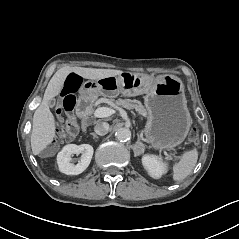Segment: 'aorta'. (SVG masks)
<instances>
[{
    "label": "aorta",
    "mask_w": 239,
    "mask_h": 239,
    "mask_svg": "<svg viewBox=\"0 0 239 239\" xmlns=\"http://www.w3.org/2000/svg\"><path fill=\"white\" fill-rule=\"evenodd\" d=\"M115 137L120 142H126L131 138V131L126 127L119 128L115 132Z\"/></svg>",
    "instance_id": "obj_1"
}]
</instances>
